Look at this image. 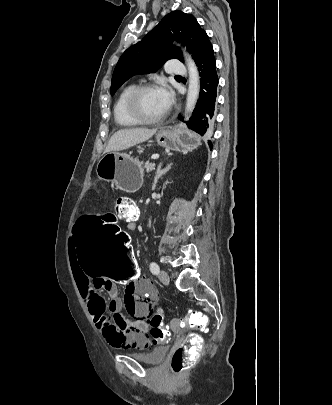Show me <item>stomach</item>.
<instances>
[{"label": "stomach", "mask_w": 332, "mask_h": 405, "mask_svg": "<svg viewBox=\"0 0 332 405\" xmlns=\"http://www.w3.org/2000/svg\"><path fill=\"white\" fill-rule=\"evenodd\" d=\"M158 145L187 153L201 144L200 137L191 131L181 130L178 126L160 129L156 134ZM143 164L125 153L109 152L97 164L96 173L104 181L111 182L116 188L134 192L142 184Z\"/></svg>", "instance_id": "0dacf381"}]
</instances>
